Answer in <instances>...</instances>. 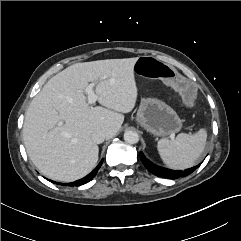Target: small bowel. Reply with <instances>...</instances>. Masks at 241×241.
<instances>
[{"label": "small bowel", "instance_id": "small-bowel-1", "mask_svg": "<svg viewBox=\"0 0 241 241\" xmlns=\"http://www.w3.org/2000/svg\"><path fill=\"white\" fill-rule=\"evenodd\" d=\"M141 57H150V58H153L152 56H141ZM138 58H139V57H138ZM168 68H169V67H168ZM133 70H134V72H135L136 74H138L137 71H136V63H135V65H134ZM138 75H139V74H138Z\"/></svg>", "mask_w": 241, "mask_h": 241}]
</instances>
